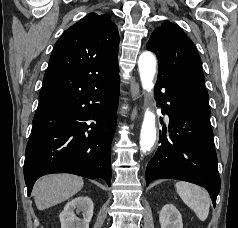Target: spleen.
<instances>
[{
	"label": "spleen",
	"mask_w": 238,
	"mask_h": 228,
	"mask_svg": "<svg viewBox=\"0 0 238 228\" xmlns=\"http://www.w3.org/2000/svg\"><path fill=\"white\" fill-rule=\"evenodd\" d=\"M176 191L183 202L190 207L201 221H205L210 209V196L201 187L179 181L175 184Z\"/></svg>",
	"instance_id": "3e777b00"
}]
</instances>
